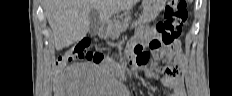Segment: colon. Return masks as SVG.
Returning <instances> with one entry per match:
<instances>
[{
    "mask_svg": "<svg viewBox=\"0 0 232 96\" xmlns=\"http://www.w3.org/2000/svg\"><path fill=\"white\" fill-rule=\"evenodd\" d=\"M187 16L185 0H167L164 9V18L156 24V35L151 39L149 48L155 51L160 57H171L175 53L174 43L181 34L182 26ZM132 52L133 56L127 61L129 67L139 69L148 64L149 53L144 47L137 45L133 48ZM72 59L100 63L105 59V55L102 52L93 51L90 41L82 39L59 56L56 68H63Z\"/></svg>",
    "mask_w": 232,
    "mask_h": 96,
    "instance_id": "1",
    "label": "colon"
}]
</instances>
